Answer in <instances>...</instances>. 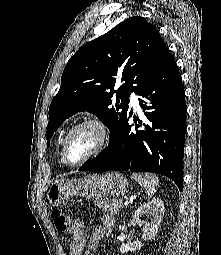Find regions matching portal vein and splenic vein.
<instances>
[{"instance_id":"18ae733b","label":"portal vein and splenic vein","mask_w":221,"mask_h":255,"mask_svg":"<svg viewBox=\"0 0 221 255\" xmlns=\"http://www.w3.org/2000/svg\"><path fill=\"white\" fill-rule=\"evenodd\" d=\"M125 203H128V200H127V199L125 200Z\"/></svg>"}]
</instances>
